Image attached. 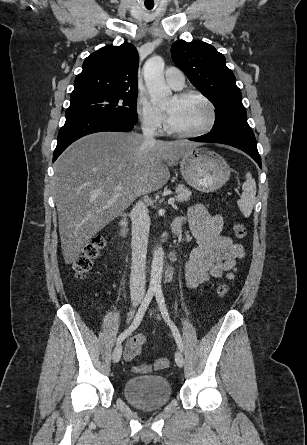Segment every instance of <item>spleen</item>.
Segmentation results:
<instances>
[{"label": "spleen", "mask_w": 307, "mask_h": 445, "mask_svg": "<svg viewBox=\"0 0 307 445\" xmlns=\"http://www.w3.org/2000/svg\"><path fill=\"white\" fill-rule=\"evenodd\" d=\"M245 182L242 184V196L238 200V206L244 216H250L256 200V182L251 172H246Z\"/></svg>", "instance_id": "obj_1"}]
</instances>
